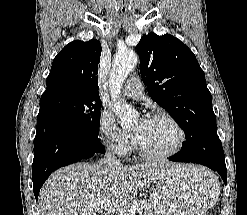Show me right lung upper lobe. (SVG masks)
<instances>
[{
    "label": "right lung upper lobe",
    "instance_id": "1",
    "mask_svg": "<svg viewBox=\"0 0 247 215\" xmlns=\"http://www.w3.org/2000/svg\"><path fill=\"white\" fill-rule=\"evenodd\" d=\"M100 55L101 44L95 39L67 44L53 60L46 91L71 89L99 96L97 73Z\"/></svg>",
    "mask_w": 247,
    "mask_h": 215
}]
</instances>
